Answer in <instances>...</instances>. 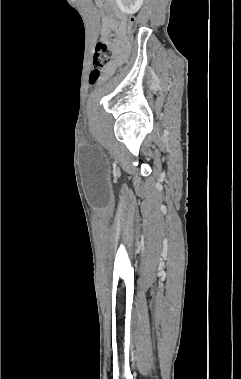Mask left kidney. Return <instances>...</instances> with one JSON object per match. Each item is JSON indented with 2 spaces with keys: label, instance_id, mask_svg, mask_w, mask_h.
<instances>
[{
  "label": "left kidney",
  "instance_id": "obj_1",
  "mask_svg": "<svg viewBox=\"0 0 241 379\" xmlns=\"http://www.w3.org/2000/svg\"><path fill=\"white\" fill-rule=\"evenodd\" d=\"M116 2L123 13L134 14L140 9L143 0H116Z\"/></svg>",
  "mask_w": 241,
  "mask_h": 379
}]
</instances>
